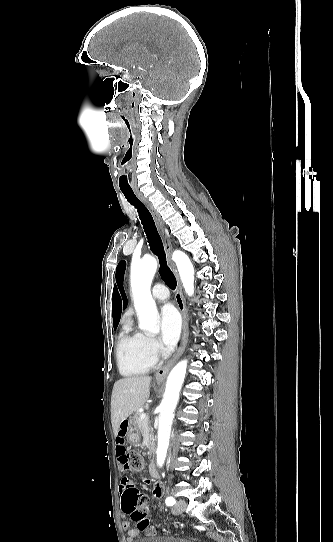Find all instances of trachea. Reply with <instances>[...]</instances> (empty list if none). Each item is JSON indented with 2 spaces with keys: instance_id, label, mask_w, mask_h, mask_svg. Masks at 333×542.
Returning a JSON list of instances; mask_svg holds the SVG:
<instances>
[{
  "instance_id": "3493384b",
  "label": "trachea",
  "mask_w": 333,
  "mask_h": 542,
  "mask_svg": "<svg viewBox=\"0 0 333 542\" xmlns=\"http://www.w3.org/2000/svg\"><path fill=\"white\" fill-rule=\"evenodd\" d=\"M124 193V196L134 207L137 208L141 223L145 230L147 240L149 242L150 249L152 252L158 256L160 261V274L164 282L170 287V289H175L177 285L176 278L170 268L167 266L166 256L164 252V247L161 241V238L157 232L154 220L152 215L148 211V208L140 202V200L135 196L133 190H121Z\"/></svg>"
}]
</instances>
